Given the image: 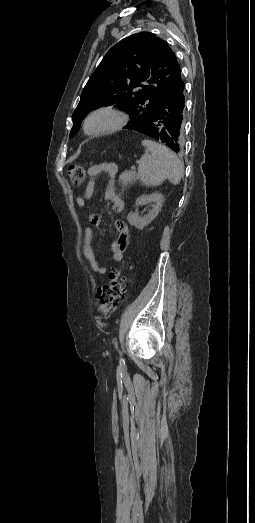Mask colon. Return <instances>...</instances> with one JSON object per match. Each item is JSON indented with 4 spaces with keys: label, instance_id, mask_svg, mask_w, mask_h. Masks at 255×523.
I'll return each mask as SVG.
<instances>
[{
    "label": "colon",
    "instance_id": "1",
    "mask_svg": "<svg viewBox=\"0 0 255 523\" xmlns=\"http://www.w3.org/2000/svg\"><path fill=\"white\" fill-rule=\"evenodd\" d=\"M67 173L74 185H81L85 178V169L81 165H70ZM128 281L125 273L113 271L108 275V280L103 284L97 295L98 310L101 314H109L125 294V284Z\"/></svg>",
    "mask_w": 255,
    "mask_h": 523
}]
</instances>
